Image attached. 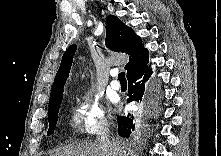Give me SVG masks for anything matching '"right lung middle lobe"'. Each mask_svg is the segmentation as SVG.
<instances>
[{"label": "right lung middle lobe", "instance_id": "dd1d6c3e", "mask_svg": "<svg viewBox=\"0 0 221 156\" xmlns=\"http://www.w3.org/2000/svg\"><path fill=\"white\" fill-rule=\"evenodd\" d=\"M62 98L57 100L55 103L49 106L48 119H49V130L47 132L48 135L54 132L57 123V116L59 111V106L61 104Z\"/></svg>", "mask_w": 221, "mask_h": 156}]
</instances>
